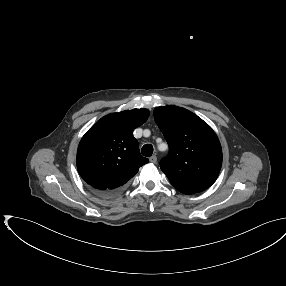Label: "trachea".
<instances>
[{"label": "trachea", "mask_w": 286, "mask_h": 286, "mask_svg": "<svg viewBox=\"0 0 286 286\" xmlns=\"http://www.w3.org/2000/svg\"><path fill=\"white\" fill-rule=\"evenodd\" d=\"M141 153L146 157L151 156L153 153V146L151 144H145L141 149Z\"/></svg>", "instance_id": "obj_1"}]
</instances>
